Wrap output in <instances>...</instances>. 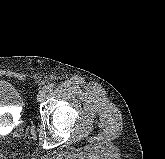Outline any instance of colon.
I'll use <instances>...</instances> for the list:
<instances>
[{"label":"colon","instance_id":"5ec220e1","mask_svg":"<svg viewBox=\"0 0 165 159\" xmlns=\"http://www.w3.org/2000/svg\"><path fill=\"white\" fill-rule=\"evenodd\" d=\"M5 148H7V144L3 142L2 148H0V158L2 157V154H3L4 150H5Z\"/></svg>","mask_w":165,"mask_h":159}]
</instances>
